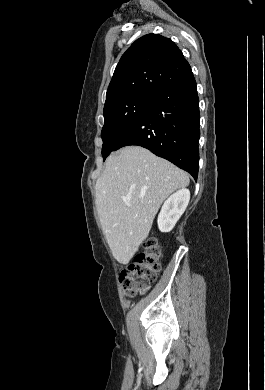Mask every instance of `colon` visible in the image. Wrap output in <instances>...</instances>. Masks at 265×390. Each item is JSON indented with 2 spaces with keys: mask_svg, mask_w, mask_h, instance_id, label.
Returning a JSON list of instances; mask_svg holds the SVG:
<instances>
[{
  "mask_svg": "<svg viewBox=\"0 0 265 390\" xmlns=\"http://www.w3.org/2000/svg\"><path fill=\"white\" fill-rule=\"evenodd\" d=\"M161 255V247L155 239L150 238L144 243L143 251L121 272L119 277L127 296L133 297L148 290L160 270Z\"/></svg>",
  "mask_w": 265,
  "mask_h": 390,
  "instance_id": "1",
  "label": "colon"
}]
</instances>
